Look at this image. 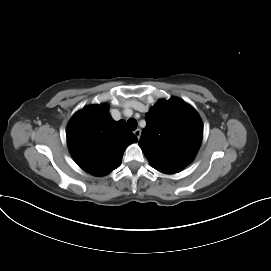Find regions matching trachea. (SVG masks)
I'll return each mask as SVG.
<instances>
[{"label": "trachea", "instance_id": "trachea-1", "mask_svg": "<svg viewBox=\"0 0 271 271\" xmlns=\"http://www.w3.org/2000/svg\"><path fill=\"white\" fill-rule=\"evenodd\" d=\"M127 128L131 131H134L136 130L137 128V122L135 119L133 118H130L128 121H127Z\"/></svg>", "mask_w": 271, "mask_h": 271}]
</instances>
